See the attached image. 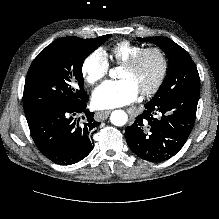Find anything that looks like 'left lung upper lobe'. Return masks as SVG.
Returning a JSON list of instances; mask_svg holds the SVG:
<instances>
[{"label":"left lung upper lobe","instance_id":"5c2ea615","mask_svg":"<svg viewBox=\"0 0 219 219\" xmlns=\"http://www.w3.org/2000/svg\"><path fill=\"white\" fill-rule=\"evenodd\" d=\"M159 46L169 58L171 69L162 86L150 100L164 102L177 95L190 92H200V78L190 55L178 44L165 37L138 38Z\"/></svg>","mask_w":219,"mask_h":219}]
</instances>
